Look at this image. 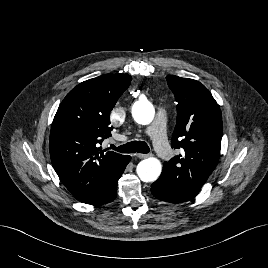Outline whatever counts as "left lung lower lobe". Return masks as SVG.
<instances>
[{
	"label": "left lung lower lobe",
	"mask_w": 268,
	"mask_h": 268,
	"mask_svg": "<svg viewBox=\"0 0 268 268\" xmlns=\"http://www.w3.org/2000/svg\"><path fill=\"white\" fill-rule=\"evenodd\" d=\"M151 192L156 198L172 203L185 202L196 196L184 190L175 188L161 179H158L151 185Z\"/></svg>",
	"instance_id": "left-lung-lower-lobe-1"
}]
</instances>
